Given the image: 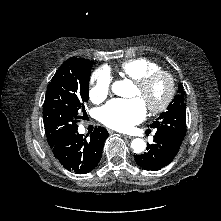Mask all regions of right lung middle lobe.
<instances>
[{"label":"right lung middle lobe","mask_w":221,"mask_h":221,"mask_svg":"<svg viewBox=\"0 0 221 221\" xmlns=\"http://www.w3.org/2000/svg\"><path fill=\"white\" fill-rule=\"evenodd\" d=\"M93 61L72 57L57 70L48 84L43 104L47 141L53 144L78 128L79 111L87 102Z\"/></svg>","instance_id":"dd1d6c3e"}]
</instances>
